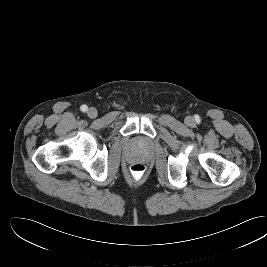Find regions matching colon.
Returning a JSON list of instances; mask_svg holds the SVG:
<instances>
[{
    "label": "colon",
    "instance_id": "colon-1",
    "mask_svg": "<svg viewBox=\"0 0 267 267\" xmlns=\"http://www.w3.org/2000/svg\"><path fill=\"white\" fill-rule=\"evenodd\" d=\"M146 167L142 163H134L130 167V173L135 180H140L144 177Z\"/></svg>",
    "mask_w": 267,
    "mask_h": 267
}]
</instances>
